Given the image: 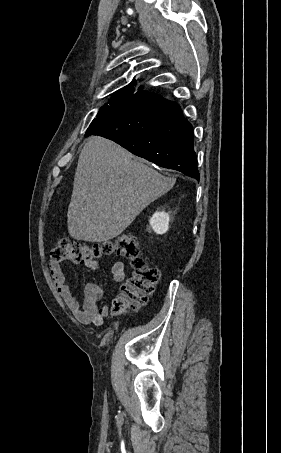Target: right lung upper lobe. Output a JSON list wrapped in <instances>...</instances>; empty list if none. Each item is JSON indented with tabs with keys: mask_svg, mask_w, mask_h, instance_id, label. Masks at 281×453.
Masks as SVG:
<instances>
[{
	"mask_svg": "<svg viewBox=\"0 0 281 453\" xmlns=\"http://www.w3.org/2000/svg\"><path fill=\"white\" fill-rule=\"evenodd\" d=\"M137 84V81L134 80L132 81L128 86L122 88L121 90H119L118 92H116L113 97L110 99V101L108 102V104L110 106H113V105H116L118 103H121V102H124V101H127V100H133L135 99L136 97H139L143 94H147L148 92L147 91H143L142 87H139L138 88V92L134 93V90L133 89H129L133 86H135ZM108 104L104 105L103 107H109Z\"/></svg>",
	"mask_w": 281,
	"mask_h": 453,
	"instance_id": "right-lung-upper-lobe-1",
	"label": "right lung upper lobe"
}]
</instances>
